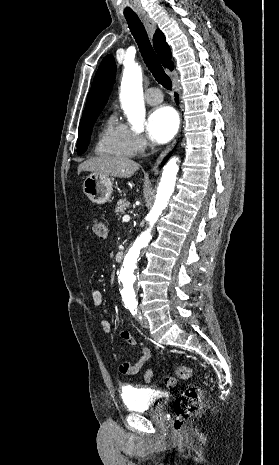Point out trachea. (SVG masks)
Returning a JSON list of instances; mask_svg holds the SVG:
<instances>
[{
  "label": "trachea",
  "mask_w": 279,
  "mask_h": 465,
  "mask_svg": "<svg viewBox=\"0 0 279 465\" xmlns=\"http://www.w3.org/2000/svg\"><path fill=\"white\" fill-rule=\"evenodd\" d=\"M129 29L136 40L142 56L155 80L166 89H171L172 82L165 73L152 48L147 32L137 15L125 14Z\"/></svg>",
  "instance_id": "3493384b"
}]
</instances>
